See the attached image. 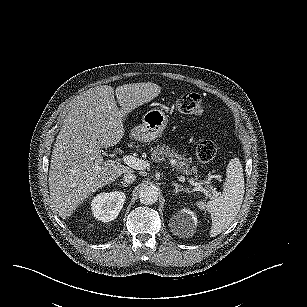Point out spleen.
Masks as SVG:
<instances>
[{
    "label": "spleen",
    "instance_id": "1",
    "mask_svg": "<svg viewBox=\"0 0 307 307\" xmlns=\"http://www.w3.org/2000/svg\"><path fill=\"white\" fill-rule=\"evenodd\" d=\"M244 192L242 164L238 158H233L227 165L222 194L208 202H196L198 209L211 214V237L225 231L236 218L243 202Z\"/></svg>",
    "mask_w": 307,
    "mask_h": 307
}]
</instances>
